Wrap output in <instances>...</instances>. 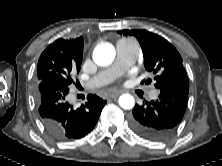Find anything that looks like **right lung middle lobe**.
I'll list each match as a JSON object with an SVG mask.
<instances>
[{"label":"right lung middle lobe","instance_id":"obj_1","mask_svg":"<svg viewBox=\"0 0 222 166\" xmlns=\"http://www.w3.org/2000/svg\"><path fill=\"white\" fill-rule=\"evenodd\" d=\"M84 41L82 38H76V48L71 52H48L42 53L37 65V80L57 79L67 85L73 80L71 78L74 72H79L82 62Z\"/></svg>","mask_w":222,"mask_h":166}]
</instances>
